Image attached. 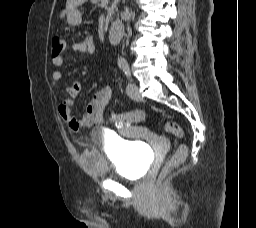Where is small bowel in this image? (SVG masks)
<instances>
[{"label": "small bowel", "instance_id": "c3829d8e", "mask_svg": "<svg viewBox=\"0 0 256 228\" xmlns=\"http://www.w3.org/2000/svg\"><path fill=\"white\" fill-rule=\"evenodd\" d=\"M71 51L80 54H92L95 51L94 39L91 36L83 38L81 41L71 45ZM65 61L64 51L52 55V63L55 67H61ZM63 78L61 71L52 73L51 83L56 86ZM81 83L73 81L66 89L67 96L62 99L58 106L61 118L67 123L72 131H79L81 128L91 127L95 124L104 122L103 111L110 100L113 88L110 84L103 85L94 95L91 102L87 105L85 113L79 116L72 115L71 108L73 99L80 93Z\"/></svg>", "mask_w": 256, "mask_h": 228}]
</instances>
